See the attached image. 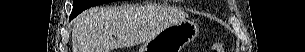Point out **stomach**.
<instances>
[{
    "label": "stomach",
    "mask_w": 305,
    "mask_h": 52,
    "mask_svg": "<svg viewBox=\"0 0 305 52\" xmlns=\"http://www.w3.org/2000/svg\"><path fill=\"white\" fill-rule=\"evenodd\" d=\"M199 33L196 23L180 21L161 30L154 38L146 41L138 52H181Z\"/></svg>",
    "instance_id": "0dacf381"
}]
</instances>
